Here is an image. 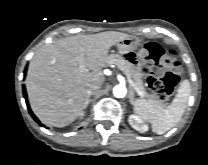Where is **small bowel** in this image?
I'll return each instance as SVG.
<instances>
[{
  "mask_svg": "<svg viewBox=\"0 0 208 165\" xmlns=\"http://www.w3.org/2000/svg\"><path fill=\"white\" fill-rule=\"evenodd\" d=\"M123 60L133 70H140L142 68V60L138 58L132 51H125L123 53Z\"/></svg>",
  "mask_w": 208,
  "mask_h": 165,
  "instance_id": "c3829d8e",
  "label": "small bowel"
}]
</instances>
